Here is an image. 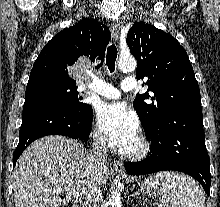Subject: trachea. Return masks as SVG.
<instances>
[{"label": "trachea", "mask_w": 220, "mask_h": 207, "mask_svg": "<svg viewBox=\"0 0 220 207\" xmlns=\"http://www.w3.org/2000/svg\"><path fill=\"white\" fill-rule=\"evenodd\" d=\"M117 58V48L114 44L107 48L106 65L110 72L115 71V62Z\"/></svg>", "instance_id": "3493384b"}]
</instances>
